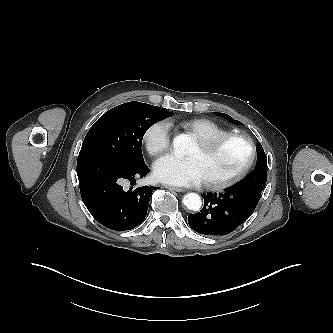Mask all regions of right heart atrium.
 <instances>
[{
    "mask_svg": "<svg viewBox=\"0 0 333 333\" xmlns=\"http://www.w3.org/2000/svg\"><path fill=\"white\" fill-rule=\"evenodd\" d=\"M143 141L150 155L157 156L165 152L171 142L170 124L165 120L152 123L145 130Z\"/></svg>",
    "mask_w": 333,
    "mask_h": 333,
    "instance_id": "obj_1",
    "label": "right heart atrium"
}]
</instances>
